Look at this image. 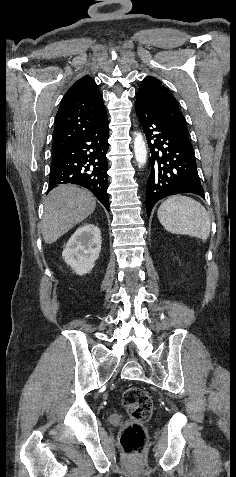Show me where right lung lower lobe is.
Here are the masks:
<instances>
[{
	"label": "right lung lower lobe",
	"instance_id": "1",
	"mask_svg": "<svg viewBox=\"0 0 236 477\" xmlns=\"http://www.w3.org/2000/svg\"><path fill=\"white\" fill-rule=\"evenodd\" d=\"M108 120L89 131L63 151L54 154L50 167L49 191L60 184H77L89 189L109 210L106 154Z\"/></svg>",
	"mask_w": 236,
	"mask_h": 477
}]
</instances>
